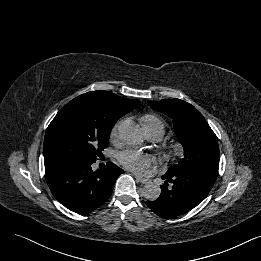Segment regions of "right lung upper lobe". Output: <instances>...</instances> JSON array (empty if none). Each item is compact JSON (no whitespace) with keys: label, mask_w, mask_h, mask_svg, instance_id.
<instances>
[{"label":"right lung upper lobe","mask_w":261,"mask_h":261,"mask_svg":"<svg viewBox=\"0 0 261 261\" xmlns=\"http://www.w3.org/2000/svg\"><path fill=\"white\" fill-rule=\"evenodd\" d=\"M77 98L90 100L104 114L119 118L133 110L140 102L136 99L120 97L108 91H91Z\"/></svg>","instance_id":"cb5924a9"}]
</instances>
